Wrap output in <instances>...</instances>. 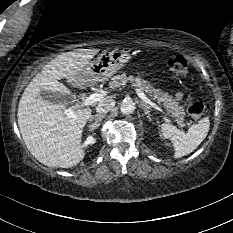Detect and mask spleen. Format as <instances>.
I'll list each match as a JSON object with an SVG mask.
<instances>
[{"instance_id":"3e777b00","label":"spleen","mask_w":233,"mask_h":233,"mask_svg":"<svg viewBox=\"0 0 233 233\" xmlns=\"http://www.w3.org/2000/svg\"><path fill=\"white\" fill-rule=\"evenodd\" d=\"M210 127L209 117L202 118L193 124L185 133L171 124H162L161 132L165 138H170L174 146V157L180 158L193 152L206 138Z\"/></svg>"}]
</instances>
